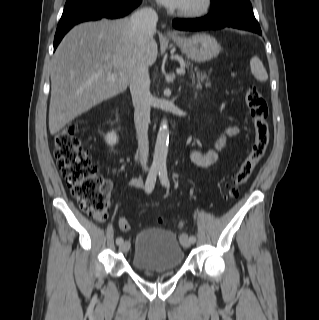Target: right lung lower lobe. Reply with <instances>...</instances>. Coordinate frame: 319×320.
<instances>
[{"label":"right lung lower lobe","mask_w":319,"mask_h":320,"mask_svg":"<svg viewBox=\"0 0 319 320\" xmlns=\"http://www.w3.org/2000/svg\"><path fill=\"white\" fill-rule=\"evenodd\" d=\"M140 3L141 0H94L74 10L63 12L54 37V50L74 25L101 18L123 17Z\"/></svg>","instance_id":"1"}]
</instances>
